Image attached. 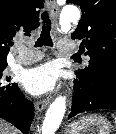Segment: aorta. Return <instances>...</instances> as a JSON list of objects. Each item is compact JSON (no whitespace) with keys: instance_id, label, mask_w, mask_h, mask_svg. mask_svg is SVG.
Masks as SVG:
<instances>
[{"instance_id":"1","label":"aorta","mask_w":116,"mask_h":134,"mask_svg":"<svg viewBox=\"0 0 116 134\" xmlns=\"http://www.w3.org/2000/svg\"><path fill=\"white\" fill-rule=\"evenodd\" d=\"M80 18V11L76 6H66L62 10V21L66 26L71 22H77ZM66 111V97L59 96L50 105L46 112L45 119L41 128L42 134H55L61 124Z\"/></svg>"}]
</instances>
